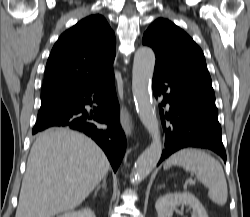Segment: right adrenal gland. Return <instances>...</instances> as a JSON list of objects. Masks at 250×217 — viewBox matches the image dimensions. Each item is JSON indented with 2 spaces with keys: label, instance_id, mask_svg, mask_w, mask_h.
I'll return each instance as SVG.
<instances>
[{
  "label": "right adrenal gland",
  "instance_id": "obj_1",
  "mask_svg": "<svg viewBox=\"0 0 250 217\" xmlns=\"http://www.w3.org/2000/svg\"><path fill=\"white\" fill-rule=\"evenodd\" d=\"M100 188H103L105 191H107V188H106V177H104L103 183L96 188V190H95V196L97 195V192L99 191Z\"/></svg>",
  "mask_w": 250,
  "mask_h": 217
}]
</instances>
